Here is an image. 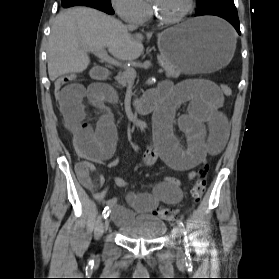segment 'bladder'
Masks as SVG:
<instances>
[{
  "instance_id": "31cf9c89",
  "label": "bladder",
  "mask_w": 279,
  "mask_h": 279,
  "mask_svg": "<svg viewBox=\"0 0 279 279\" xmlns=\"http://www.w3.org/2000/svg\"><path fill=\"white\" fill-rule=\"evenodd\" d=\"M166 230V223L153 215L134 217L130 223L118 226V232L122 237L143 241H155L161 238Z\"/></svg>"
}]
</instances>
